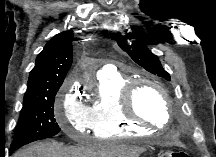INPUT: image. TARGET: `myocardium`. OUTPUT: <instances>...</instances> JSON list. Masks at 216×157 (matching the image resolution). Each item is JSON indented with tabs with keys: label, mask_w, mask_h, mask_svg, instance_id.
<instances>
[{
	"label": "myocardium",
	"mask_w": 216,
	"mask_h": 157,
	"mask_svg": "<svg viewBox=\"0 0 216 157\" xmlns=\"http://www.w3.org/2000/svg\"><path fill=\"white\" fill-rule=\"evenodd\" d=\"M144 84L156 88L161 94V97L165 104L167 116H168L167 121L163 126L156 125L152 121L139 115L135 110V106H134L135 95L139 87H141ZM120 104L124 116L136 124L150 127L153 129H163L166 128L171 123L172 110L170 106L168 92L162 84H160L159 82L153 79H149V78L131 79L121 90Z\"/></svg>",
	"instance_id": "f54148a6"
}]
</instances>
